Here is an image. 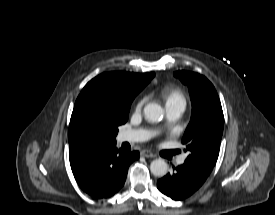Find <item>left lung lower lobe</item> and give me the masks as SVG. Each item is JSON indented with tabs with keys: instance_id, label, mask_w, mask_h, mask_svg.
<instances>
[{
	"instance_id": "left-lung-lower-lobe-1",
	"label": "left lung lower lobe",
	"mask_w": 275,
	"mask_h": 215,
	"mask_svg": "<svg viewBox=\"0 0 275 215\" xmlns=\"http://www.w3.org/2000/svg\"><path fill=\"white\" fill-rule=\"evenodd\" d=\"M209 174L186 163L173 169L157 181L160 192L173 200H183L194 194L206 181Z\"/></svg>"
}]
</instances>
